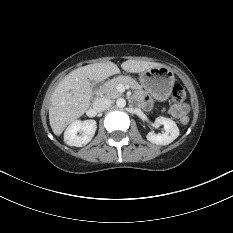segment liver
Returning a JSON list of instances; mask_svg holds the SVG:
<instances>
[{
	"label": "liver",
	"mask_w": 233,
	"mask_h": 233,
	"mask_svg": "<svg viewBox=\"0 0 233 233\" xmlns=\"http://www.w3.org/2000/svg\"><path fill=\"white\" fill-rule=\"evenodd\" d=\"M163 65L155 62L128 60L121 68L130 73H142ZM113 62L94 63L80 67L67 75L54 90L49 106V122L52 131L59 136L67 125L76 121L90 106L92 88L90 81L102 82L118 74Z\"/></svg>",
	"instance_id": "liver-1"
}]
</instances>
